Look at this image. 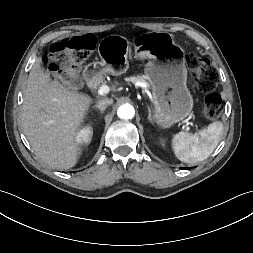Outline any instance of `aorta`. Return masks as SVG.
<instances>
[{
	"label": "aorta",
	"mask_w": 253,
	"mask_h": 253,
	"mask_svg": "<svg viewBox=\"0 0 253 253\" xmlns=\"http://www.w3.org/2000/svg\"><path fill=\"white\" fill-rule=\"evenodd\" d=\"M134 114V108L130 104L121 105L117 111L118 117L126 120L132 119L134 117Z\"/></svg>",
	"instance_id": "obj_1"
}]
</instances>
